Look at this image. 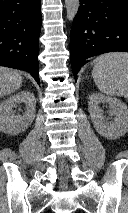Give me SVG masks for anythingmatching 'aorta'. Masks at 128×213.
Returning <instances> with one entry per match:
<instances>
[{"label":"aorta","instance_id":"1","mask_svg":"<svg viewBox=\"0 0 128 213\" xmlns=\"http://www.w3.org/2000/svg\"><path fill=\"white\" fill-rule=\"evenodd\" d=\"M80 6V0H65V7H66V12H67V19L69 21H72Z\"/></svg>","mask_w":128,"mask_h":213}]
</instances>
